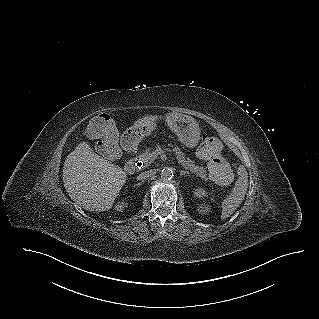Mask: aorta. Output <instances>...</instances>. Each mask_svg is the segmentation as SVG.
<instances>
[{"instance_id":"1","label":"aorta","mask_w":319,"mask_h":319,"mask_svg":"<svg viewBox=\"0 0 319 319\" xmlns=\"http://www.w3.org/2000/svg\"><path fill=\"white\" fill-rule=\"evenodd\" d=\"M161 178L165 181H169L173 178V171L170 168H164L161 171Z\"/></svg>"}]
</instances>
